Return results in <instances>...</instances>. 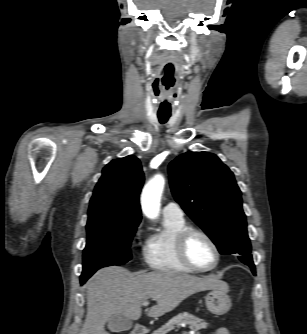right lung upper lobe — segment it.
<instances>
[{"label": "right lung upper lobe", "mask_w": 307, "mask_h": 334, "mask_svg": "<svg viewBox=\"0 0 307 334\" xmlns=\"http://www.w3.org/2000/svg\"><path fill=\"white\" fill-rule=\"evenodd\" d=\"M88 210V222L140 223L139 195L144 174L133 155L114 159L102 171Z\"/></svg>", "instance_id": "right-lung-upper-lobe-1"}]
</instances>
